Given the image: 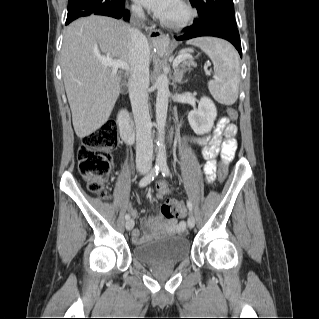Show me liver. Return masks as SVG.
<instances>
[{"mask_svg": "<svg viewBox=\"0 0 319 319\" xmlns=\"http://www.w3.org/2000/svg\"><path fill=\"white\" fill-rule=\"evenodd\" d=\"M129 30L110 17L91 15L64 32L61 68L72 122L79 138L89 136L109 119L120 94L121 74L99 57L130 64Z\"/></svg>", "mask_w": 319, "mask_h": 319, "instance_id": "1", "label": "liver"}]
</instances>
